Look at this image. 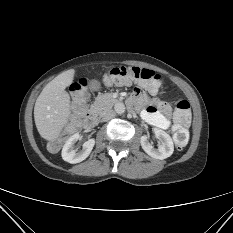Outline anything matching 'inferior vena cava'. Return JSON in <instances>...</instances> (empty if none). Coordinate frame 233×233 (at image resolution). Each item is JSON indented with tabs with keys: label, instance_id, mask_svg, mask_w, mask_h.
<instances>
[{
	"label": "inferior vena cava",
	"instance_id": "1",
	"mask_svg": "<svg viewBox=\"0 0 233 233\" xmlns=\"http://www.w3.org/2000/svg\"><path fill=\"white\" fill-rule=\"evenodd\" d=\"M116 115L115 111L113 110H108L102 115V121L106 122L114 118Z\"/></svg>",
	"mask_w": 233,
	"mask_h": 233
}]
</instances>
